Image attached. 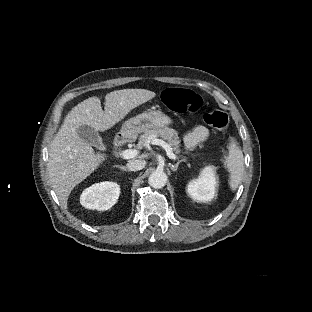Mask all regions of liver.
Here are the masks:
<instances>
[{
  "label": "liver",
  "mask_w": 312,
  "mask_h": 312,
  "mask_svg": "<svg viewBox=\"0 0 312 312\" xmlns=\"http://www.w3.org/2000/svg\"><path fill=\"white\" fill-rule=\"evenodd\" d=\"M155 96V92L146 89L115 90L104 97L105 111L99 98L90 97L68 112L51 141L47 163L50 183L65 208L76 186L107 162L106 157L95 154L91 145L78 136V128L87 125L97 132H107Z\"/></svg>",
  "instance_id": "1"
}]
</instances>
